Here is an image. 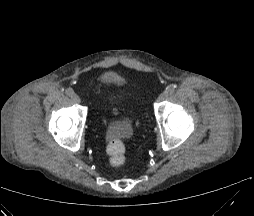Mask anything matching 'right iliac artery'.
Instances as JSON below:
<instances>
[{"instance_id":"right-iliac-artery-1","label":"right iliac artery","mask_w":254,"mask_h":216,"mask_svg":"<svg viewBox=\"0 0 254 216\" xmlns=\"http://www.w3.org/2000/svg\"><path fill=\"white\" fill-rule=\"evenodd\" d=\"M65 93L68 95V96H72L74 94V91L71 89V88H67L65 90Z\"/></svg>"}]
</instances>
